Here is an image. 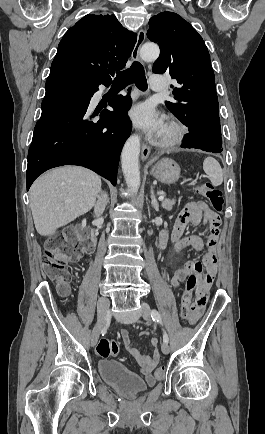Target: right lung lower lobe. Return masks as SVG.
I'll use <instances>...</instances> for the list:
<instances>
[{
  "instance_id": "obj_1",
  "label": "right lung lower lobe",
  "mask_w": 265,
  "mask_h": 434,
  "mask_svg": "<svg viewBox=\"0 0 265 434\" xmlns=\"http://www.w3.org/2000/svg\"><path fill=\"white\" fill-rule=\"evenodd\" d=\"M110 83L111 77L49 74L28 152L27 190L44 171L66 164L89 168L116 185L120 152L132 128L125 114L132 100L117 95L93 114L90 104L98 86ZM107 105L114 111L103 109ZM97 115L99 120H91Z\"/></svg>"
}]
</instances>
